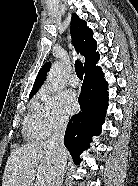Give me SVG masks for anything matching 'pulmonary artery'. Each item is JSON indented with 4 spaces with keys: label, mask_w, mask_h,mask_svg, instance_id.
I'll return each instance as SVG.
<instances>
[{
    "label": "pulmonary artery",
    "mask_w": 138,
    "mask_h": 186,
    "mask_svg": "<svg viewBox=\"0 0 138 186\" xmlns=\"http://www.w3.org/2000/svg\"><path fill=\"white\" fill-rule=\"evenodd\" d=\"M68 82L69 84L72 86V87H77L79 86V79L77 78L76 75H71L68 79Z\"/></svg>",
    "instance_id": "pulmonary-artery-1"
}]
</instances>
